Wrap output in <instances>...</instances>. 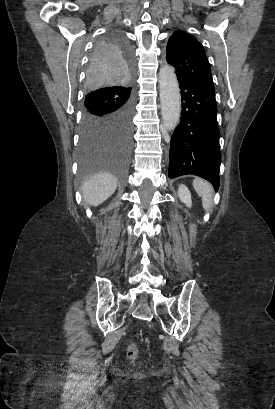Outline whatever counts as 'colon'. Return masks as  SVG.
Wrapping results in <instances>:
<instances>
[{
  "instance_id": "colon-1",
  "label": "colon",
  "mask_w": 275,
  "mask_h": 409,
  "mask_svg": "<svg viewBox=\"0 0 275 409\" xmlns=\"http://www.w3.org/2000/svg\"><path fill=\"white\" fill-rule=\"evenodd\" d=\"M139 351L135 344L131 343L127 350V356L129 359L134 360L138 357Z\"/></svg>"
}]
</instances>
